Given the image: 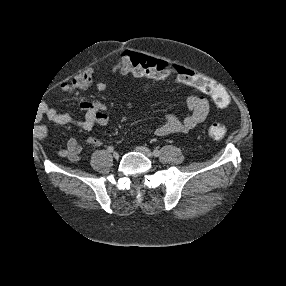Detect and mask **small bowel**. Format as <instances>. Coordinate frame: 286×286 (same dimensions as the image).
<instances>
[{"label": "small bowel", "instance_id": "c3829d8e", "mask_svg": "<svg viewBox=\"0 0 286 286\" xmlns=\"http://www.w3.org/2000/svg\"><path fill=\"white\" fill-rule=\"evenodd\" d=\"M172 79L176 82L193 86L190 83ZM96 86L98 89H104L106 83L98 81ZM151 89L152 85L149 82L143 83L144 92H150ZM186 106L188 113L183 118L178 117L174 113L167 114L165 122L156 129V135L167 136L176 133H187L206 119L209 112V102L205 97L190 93L186 98ZM80 107L85 112L82 120L75 119L68 114L60 113L54 108L48 109L46 115L56 125H74L85 131H90L95 125L105 126L108 124L109 117L105 111V106L100 101L84 100L80 103ZM44 134H48L47 129L44 130ZM87 143L95 147L102 144L101 140L95 136H89ZM58 154L68 158L72 162H77L81 158L82 146L76 139L70 138Z\"/></svg>", "mask_w": 286, "mask_h": 286}]
</instances>
